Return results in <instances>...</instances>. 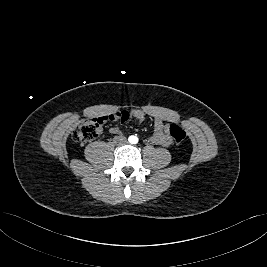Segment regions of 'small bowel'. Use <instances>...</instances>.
Segmentation results:
<instances>
[{"label":"small bowel","mask_w":267,"mask_h":267,"mask_svg":"<svg viewBox=\"0 0 267 267\" xmlns=\"http://www.w3.org/2000/svg\"><path fill=\"white\" fill-rule=\"evenodd\" d=\"M114 113L116 112L110 113L106 115V117H109ZM125 113L127 114V119L132 118L138 123H142L147 116L146 112L141 109H135L132 110L130 113L128 112ZM151 116L154 119V132L150 138L151 142L156 145L169 147L173 141L169 132L170 128L169 122L171 121V118L168 115H160V114H153ZM109 131L111 134H119L120 128L117 126H112L109 129Z\"/></svg>","instance_id":"c3829d8e"}]
</instances>
